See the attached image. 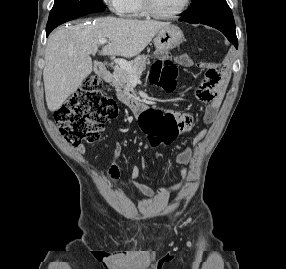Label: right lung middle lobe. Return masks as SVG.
Segmentation results:
<instances>
[{"label": "right lung middle lobe", "instance_id": "right-lung-middle-lobe-1", "mask_svg": "<svg viewBox=\"0 0 286 269\" xmlns=\"http://www.w3.org/2000/svg\"><path fill=\"white\" fill-rule=\"evenodd\" d=\"M102 0H55L50 11L46 29L93 12L104 11Z\"/></svg>", "mask_w": 286, "mask_h": 269}]
</instances>
